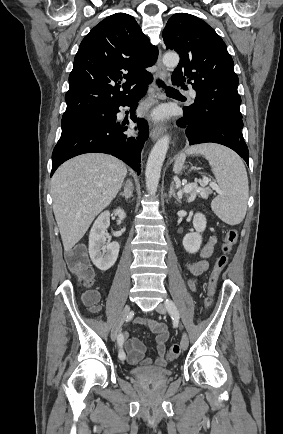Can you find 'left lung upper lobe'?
<instances>
[{"mask_svg": "<svg viewBox=\"0 0 283 434\" xmlns=\"http://www.w3.org/2000/svg\"><path fill=\"white\" fill-rule=\"evenodd\" d=\"M167 49L180 55L172 73V83L191 84L196 90L194 104L184 112L194 117L208 110L222 111L242 118L238 76L222 38L206 22L188 13H176L163 31Z\"/></svg>", "mask_w": 283, "mask_h": 434, "instance_id": "5c2ea615", "label": "left lung upper lobe"}]
</instances>
